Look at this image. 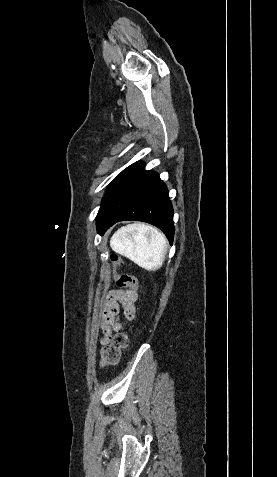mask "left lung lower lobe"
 I'll return each instance as SVG.
<instances>
[{"label": "left lung lower lobe", "instance_id": "left-lung-lower-lobe-1", "mask_svg": "<svg viewBox=\"0 0 277 477\" xmlns=\"http://www.w3.org/2000/svg\"><path fill=\"white\" fill-rule=\"evenodd\" d=\"M144 167L136 162L109 184L96 217L97 231L102 235L119 221H143L161 229L172 244L173 208L168 190L156 172Z\"/></svg>", "mask_w": 277, "mask_h": 477}]
</instances>
